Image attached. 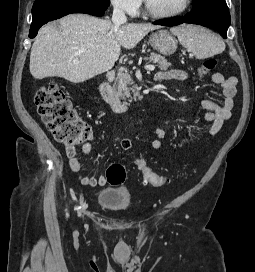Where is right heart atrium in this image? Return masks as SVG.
Segmentation results:
<instances>
[{
	"instance_id": "right-heart-atrium-1",
	"label": "right heart atrium",
	"mask_w": 255,
	"mask_h": 272,
	"mask_svg": "<svg viewBox=\"0 0 255 272\" xmlns=\"http://www.w3.org/2000/svg\"><path fill=\"white\" fill-rule=\"evenodd\" d=\"M113 8L121 13L134 16L141 7V0H110Z\"/></svg>"
}]
</instances>
